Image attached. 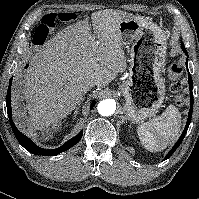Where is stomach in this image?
Returning <instances> with one entry per match:
<instances>
[{
	"mask_svg": "<svg viewBox=\"0 0 199 199\" xmlns=\"http://www.w3.org/2000/svg\"><path fill=\"white\" fill-rule=\"evenodd\" d=\"M123 46H131L128 77L120 86L124 110L133 122L154 115L165 99L167 38L150 20L128 15L118 25Z\"/></svg>",
	"mask_w": 199,
	"mask_h": 199,
	"instance_id": "0dacf381",
	"label": "stomach"
}]
</instances>
